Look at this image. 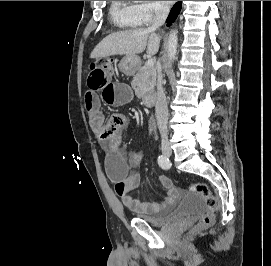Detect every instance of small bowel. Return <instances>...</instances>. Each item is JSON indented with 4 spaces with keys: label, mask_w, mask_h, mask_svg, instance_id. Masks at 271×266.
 <instances>
[{
    "label": "small bowel",
    "mask_w": 271,
    "mask_h": 266,
    "mask_svg": "<svg viewBox=\"0 0 271 266\" xmlns=\"http://www.w3.org/2000/svg\"><path fill=\"white\" fill-rule=\"evenodd\" d=\"M112 77L113 70L91 67L87 79L88 89L84 96L92 132L99 140L109 144L105 165L107 177L113 183L115 192L120 196L123 205L134 212L149 214L170 208L175 204L180 193L165 175L159 176V182L167 189V194L161 202L141 201L132 196L133 190L141 184V175L129 173V170L139 164L140 156L134 153L126 159L121 150L122 130L126 124V118L117 113L105 122L101 111V101L97 94L100 92L103 100L110 105H122L131 100L132 93L129 86L125 83L113 82Z\"/></svg>",
    "instance_id": "small-bowel-1"
}]
</instances>
